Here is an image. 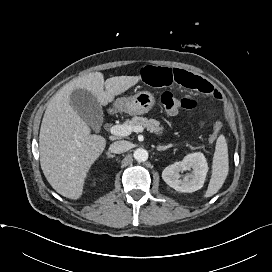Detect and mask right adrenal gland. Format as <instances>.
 I'll list each match as a JSON object with an SVG mask.
<instances>
[{"mask_svg": "<svg viewBox=\"0 0 272 272\" xmlns=\"http://www.w3.org/2000/svg\"><path fill=\"white\" fill-rule=\"evenodd\" d=\"M106 154L108 155L109 158H114V157H115V155H112V154L110 153V151H107Z\"/></svg>", "mask_w": 272, "mask_h": 272, "instance_id": "obj_1", "label": "right adrenal gland"}]
</instances>
